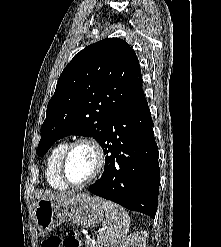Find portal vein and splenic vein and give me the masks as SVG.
<instances>
[{"label":"portal vein and splenic vein","instance_id":"18ae733b","mask_svg":"<svg viewBox=\"0 0 221 247\" xmlns=\"http://www.w3.org/2000/svg\"><path fill=\"white\" fill-rule=\"evenodd\" d=\"M86 237H87V238H90V235L87 234Z\"/></svg>","mask_w":221,"mask_h":247}]
</instances>
